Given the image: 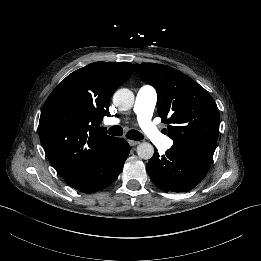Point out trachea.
<instances>
[{"instance_id": "3493384b", "label": "trachea", "mask_w": 261, "mask_h": 261, "mask_svg": "<svg viewBox=\"0 0 261 261\" xmlns=\"http://www.w3.org/2000/svg\"><path fill=\"white\" fill-rule=\"evenodd\" d=\"M108 134L113 136H121L123 134V129L120 126H112L108 129ZM126 137L131 140L139 141L144 139V135L137 130L128 131Z\"/></svg>"}]
</instances>
